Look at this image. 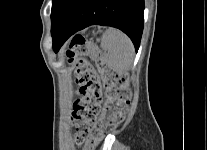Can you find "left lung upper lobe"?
Instances as JSON below:
<instances>
[{"label": "left lung upper lobe", "instance_id": "5c2ea615", "mask_svg": "<svg viewBox=\"0 0 207 150\" xmlns=\"http://www.w3.org/2000/svg\"><path fill=\"white\" fill-rule=\"evenodd\" d=\"M66 1L67 0H53L52 1V12H51L52 26L55 24Z\"/></svg>", "mask_w": 207, "mask_h": 150}]
</instances>
